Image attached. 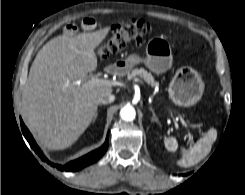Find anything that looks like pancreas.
Listing matches in <instances>:
<instances>
[{
    "instance_id": "pancreas-1",
    "label": "pancreas",
    "mask_w": 245,
    "mask_h": 195,
    "mask_svg": "<svg viewBox=\"0 0 245 195\" xmlns=\"http://www.w3.org/2000/svg\"><path fill=\"white\" fill-rule=\"evenodd\" d=\"M138 77L143 78L148 84H150L152 87L158 86V82L155 81L154 77L150 72L145 70L144 68H136L132 70L131 73L127 75L128 79H138Z\"/></svg>"
}]
</instances>
